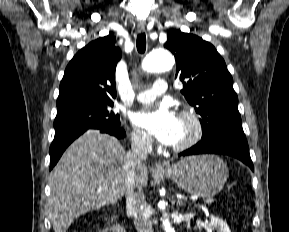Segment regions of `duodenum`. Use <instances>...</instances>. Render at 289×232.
<instances>
[{"mask_svg":"<svg viewBox=\"0 0 289 232\" xmlns=\"http://www.w3.org/2000/svg\"><path fill=\"white\" fill-rule=\"evenodd\" d=\"M112 230L113 232H126L123 226L118 222L116 217L112 218Z\"/></svg>","mask_w":289,"mask_h":232,"instance_id":"410a0bca","label":"duodenum"}]
</instances>
